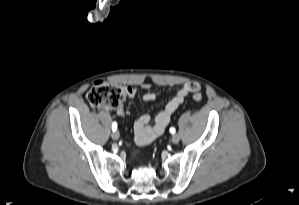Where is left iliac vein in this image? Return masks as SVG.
Instances as JSON below:
<instances>
[{"label": "left iliac vein", "instance_id": "left-iliac-vein-1", "mask_svg": "<svg viewBox=\"0 0 299 205\" xmlns=\"http://www.w3.org/2000/svg\"><path fill=\"white\" fill-rule=\"evenodd\" d=\"M179 141H180V135H179L178 133H174V134L172 135V142H173L174 144H177Z\"/></svg>", "mask_w": 299, "mask_h": 205}]
</instances>
